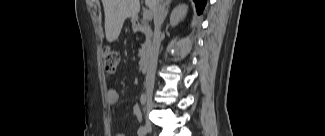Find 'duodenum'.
Returning a JSON list of instances; mask_svg holds the SVG:
<instances>
[{"label": "duodenum", "instance_id": "obj_1", "mask_svg": "<svg viewBox=\"0 0 325 136\" xmlns=\"http://www.w3.org/2000/svg\"><path fill=\"white\" fill-rule=\"evenodd\" d=\"M135 28L144 31L147 36L144 43L143 54L139 61V69L144 71L148 68L149 59L154 50V42L153 39L149 36V27L144 22L136 21Z\"/></svg>", "mask_w": 325, "mask_h": 136}]
</instances>
